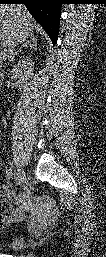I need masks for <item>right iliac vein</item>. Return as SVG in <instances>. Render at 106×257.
Masks as SVG:
<instances>
[{"mask_svg":"<svg viewBox=\"0 0 106 257\" xmlns=\"http://www.w3.org/2000/svg\"><path fill=\"white\" fill-rule=\"evenodd\" d=\"M15 180L19 185H22L25 180V172L20 164H17V168L15 170Z\"/></svg>","mask_w":106,"mask_h":257,"instance_id":"1","label":"right iliac vein"}]
</instances>
